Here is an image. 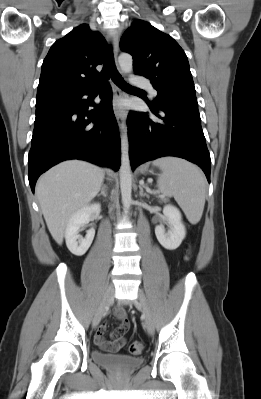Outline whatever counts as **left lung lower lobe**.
<instances>
[{"label":"left lung lower lobe","mask_w":261,"mask_h":399,"mask_svg":"<svg viewBox=\"0 0 261 399\" xmlns=\"http://www.w3.org/2000/svg\"><path fill=\"white\" fill-rule=\"evenodd\" d=\"M151 110L159 120L143 112H130L127 118L132 169L159 157L176 156L196 163L210 183L211 159L198 103L172 101L155 108L151 106Z\"/></svg>","instance_id":"obj_1"}]
</instances>
